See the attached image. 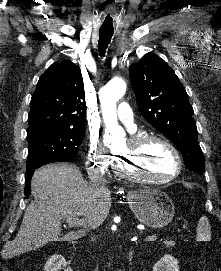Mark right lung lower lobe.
Here are the masks:
<instances>
[{"label": "right lung lower lobe", "mask_w": 221, "mask_h": 271, "mask_svg": "<svg viewBox=\"0 0 221 271\" xmlns=\"http://www.w3.org/2000/svg\"><path fill=\"white\" fill-rule=\"evenodd\" d=\"M35 169H37V168H35ZM35 169H27L26 170V176H25V195L27 197L31 194V191H30V182H31V178H32V175H33Z\"/></svg>", "instance_id": "obj_1"}]
</instances>
